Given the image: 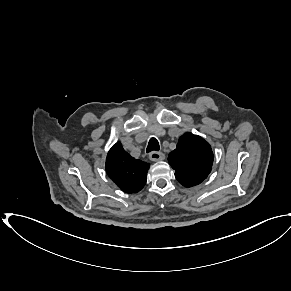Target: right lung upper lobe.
I'll list each match as a JSON object with an SVG mask.
<instances>
[{
	"label": "right lung upper lobe",
	"mask_w": 291,
	"mask_h": 291,
	"mask_svg": "<svg viewBox=\"0 0 291 291\" xmlns=\"http://www.w3.org/2000/svg\"><path fill=\"white\" fill-rule=\"evenodd\" d=\"M105 168L108 176L122 191L136 193L146 183L149 164L131 157L117 142L108 152Z\"/></svg>",
	"instance_id": "right-lung-upper-lobe-1"
}]
</instances>
